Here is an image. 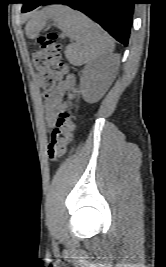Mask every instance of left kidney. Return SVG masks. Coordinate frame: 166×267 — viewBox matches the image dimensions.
I'll use <instances>...</instances> for the list:
<instances>
[{
	"label": "left kidney",
	"instance_id": "5707ae66",
	"mask_svg": "<svg viewBox=\"0 0 166 267\" xmlns=\"http://www.w3.org/2000/svg\"><path fill=\"white\" fill-rule=\"evenodd\" d=\"M110 72L107 60H95L86 65L80 79V92L87 103L97 102L108 87Z\"/></svg>",
	"mask_w": 166,
	"mask_h": 267
}]
</instances>
